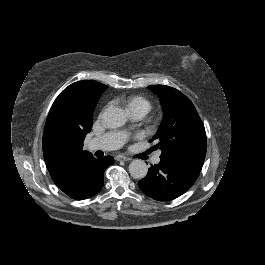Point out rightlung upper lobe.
<instances>
[{
	"label": "right lung upper lobe",
	"instance_id": "right-lung-upper-lobe-1",
	"mask_svg": "<svg viewBox=\"0 0 265 265\" xmlns=\"http://www.w3.org/2000/svg\"><path fill=\"white\" fill-rule=\"evenodd\" d=\"M107 86L82 80L65 88L54 101L43 133V156L57 186L66 184L89 159L83 150L85 136L92 128L91 103L101 97Z\"/></svg>",
	"mask_w": 265,
	"mask_h": 265
}]
</instances>
